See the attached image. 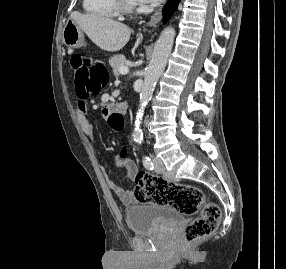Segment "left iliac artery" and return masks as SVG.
Segmentation results:
<instances>
[{
    "instance_id": "44dca946",
    "label": "left iliac artery",
    "mask_w": 286,
    "mask_h": 269,
    "mask_svg": "<svg viewBox=\"0 0 286 269\" xmlns=\"http://www.w3.org/2000/svg\"><path fill=\"white\" fill-rule=\"evenodd\" d=\"M143 165L146 169H149V170L154 169V164L151 161L150 157H147V156L143 157Z\"/></svg>"
}]
</instances>
